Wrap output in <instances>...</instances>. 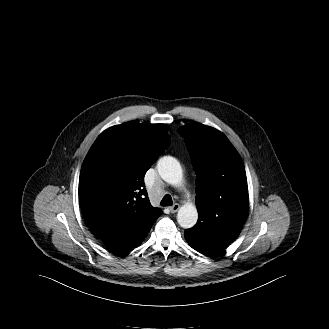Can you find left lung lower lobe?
I'll use <instances>...</instances> for the list:
<instances>
[{"label": "left lung lower lobe", "instance_id": "obj_1", "mask_svg": "<svg viewBox=\"0 0 329 329\" xmlns=\"http://www.w3.org/2000/svg\"><path fill=\"white\" fill-rule=\"evenodd\" d=\"M241 229L232 228L225 229L216 238L212 240H203L195 237L190 230H186L184 233L187 243L195 250L207 255L209 257L214 256L224 250L231 242H233L239 235Z\"/></svg>", "mask_w": 329, "mask_h": 329}]
</instances>
